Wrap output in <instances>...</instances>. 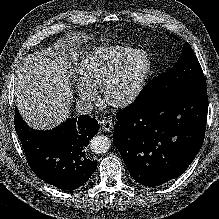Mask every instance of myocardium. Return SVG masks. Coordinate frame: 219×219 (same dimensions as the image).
<instances>
[{
  "instance_id": "obj_1",
  "label": "myocardium",
  "mask_w": 219,
  "mask_h": 219,
  "mask_svg": "<svg viewBox=\"0 0 219 219\" xmlns=\"http://www.w3.org/2000/svg\"><path fill=\"white\" fill-rule=\"evenodd\" d=\"M137 56H146L148 59V66L143 74L141 80L139 81L138 85L136 88L126 97L122 99H112L110 98V89L115 81L116 77L118 76L120 70L122 67L129 62L130 60L136 58ZM154 69V63L151 55L149 52H147L144 49H135L134 51L128 53L124 57H122L120 60H118L115 65L110 69V71L107 73L105 78L103 79L101 85H100V94L103 99V101L110 106L111 108L114 109H125L132 104H134L139 97L142 95L144 92L148 81L153 73Z\"/></svg>"
}]
</instances>
